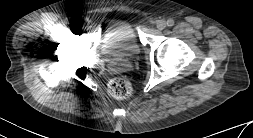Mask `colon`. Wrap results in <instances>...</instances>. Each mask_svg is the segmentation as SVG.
Returning <instances> with one entry per match:
<instances>
[{
	"label": "colon",
	"instance_id": "5ec220e1",
	"mask_svg": "<svg viewBox=\"0 0 253 138\" xmlns=\"http://www.w3.org/2000/svg\"><path fill=\"white\" fill-rule=\"evenodd\" d=\"M109 91L112 96L119 99H125L131 95L132 86L127 79L123 77H116L110 81Z\"/></svg>",
	"mask_w": 253,
	"mask_h": 138
}]
</instances>
